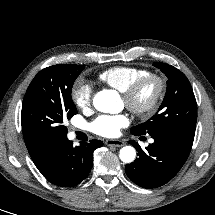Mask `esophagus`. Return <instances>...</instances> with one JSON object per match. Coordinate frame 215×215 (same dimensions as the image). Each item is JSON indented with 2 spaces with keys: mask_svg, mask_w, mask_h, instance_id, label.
<instances>
[{
  "mask_svg": "<svg viewBox=\"0 0 215 215\" xmlns=\"http://www.w3.org/2000/svg\"><path fill=\"white\" fill-rule=\"evenodd\" d=\"M105 144L108 146L122 147L125 143L121 140L109 139L105 141Z\"/></svg>",
  "mask_w": 215,
  "mask_h": 215,
  "instance_id": "esophagus-1",
  "label": "esophagus"
}]
</instances>
